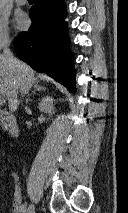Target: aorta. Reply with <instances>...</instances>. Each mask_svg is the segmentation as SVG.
<instances>
[{"label":"aorta","instance_id":"aorta-1","mask_svg":"<svg viewBox=\"0 0 128 213\" xmlns=\"http://www.w3.org/2000/svg\"><path fill=\"white\" fill-rule=\"evenodd\" d=\"M6 0H0V8L5 4Z\"/></svg>","mask_w":128,"mask_h":213}]
</instances>
